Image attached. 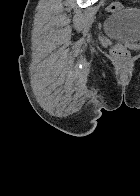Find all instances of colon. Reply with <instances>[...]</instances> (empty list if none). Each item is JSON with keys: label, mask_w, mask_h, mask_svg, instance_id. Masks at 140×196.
<instances>
[{"label": "colon", "mask_w": 140, "mask_h": 196, "mask_svg": "<svg viewBox=\"0 0 140 196\" xmlns=\"http://www.w3.org/2000/svg\"><path fill=\"white\" fill-rule=\"evenodd\" d=\"M122 8H123V5L121 3L111 2L107 5L106 10L108 12H116ZM111 54H112L113 59L120 65L126 64L130 58V52L120 42H117L113 45Z\"/></svg>", "instance_id": "1"}]
</instances>
